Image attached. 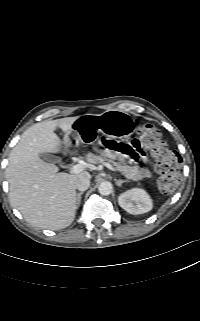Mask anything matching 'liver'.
<instances>
[{
  "instance_id": "6515ba94",
  "label": "liver",
  "mask_w": 200,
  "mask_h": 321,
  "mask_svg": "<svg viewBox=\"0 0 200 321\" xmlns=\"http://www.w3.org/2000/svg\"><path fill=\"white\" fill-rule=\"evenodd\" d=\"M76 119L66 117L30 126L9 154L6 178L10 203L34 226L52 230L68 227L76 215V180L82 176L91 178L86 171L58 173L56 165L40 158L43 153L61 151V141L54 132L57 127L65 133L64 145L68 150Z\"/></svg>"
}]
</instances>
